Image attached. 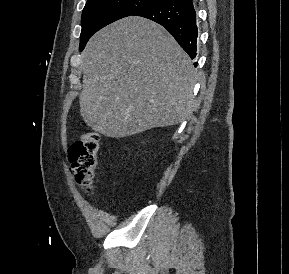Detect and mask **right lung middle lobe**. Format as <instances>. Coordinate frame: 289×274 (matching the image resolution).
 <instances>
[{
	"label": "right lung middle lobe",
	"mask_w": 289,
	"mask_h": 274,
	"mask_svg": "<svg viewBox=\"0 0 289 274\" xmlns=\"http://www.w3.org/2000/svg\"><path fill=\"white\" fill-rule=\"evenodd\" d=\"M160 0H88L82 13L80 50L89 38L104 26L156 3Z\"/></svg>",
	"instance_id": "dd1d6c3e"
}]
</instances>
